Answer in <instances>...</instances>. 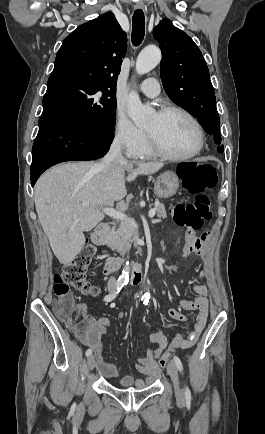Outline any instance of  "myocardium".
Segmentation results:
<instances>
[{
	"label": "myocardium",
	"instance_id": "obj_1",
	"mask_svg": "<svg viewBox=\"0 0 265 434\" xmlns=\"http://www.w3.org/2000/svg\"><path fill=\"white\" fill-rule=\"evenodd\" d=\"M173 111H177V112L184 114L191 121L193 126L195 127V130L197 133L196 147L191 152H189L187 154L175 155V154L169 153L166 150H164L161 146H159L158 143L156 142L153 134L146 130L147 137H148V143H149L150 149L153 152V154L162 158V159H165L168 161H187V160H190V159L196 157L197 155H199L202 152V150L204 148V144H205L204 130H203L201 123L198 121V119L189 110H187L183 106L175 105V104L166 105V106H163L162 108H160L158 110L157 114L159 116H164V115H166L170 112H173Z\"/></svg>",
	"mask_w": 265,
	"mask_h": 434
}]
</instances>
